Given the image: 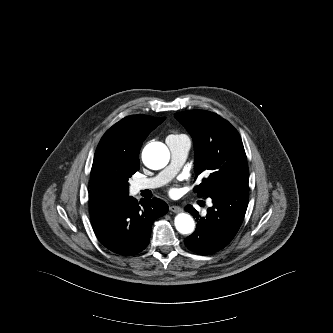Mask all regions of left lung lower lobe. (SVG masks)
I'll list each match as a JSON object with an SVG mask.
<instances>
[{"mask_svg": "<svg viewBox=\"0 0 333 333\" xmlns=\"http://www.w3.org/2000/svg\"><path fill=\"white\" fill-rule=\"evenodd\" d=\"M249 187L224 189L209 197L213 206L207 215L187 205L185 210L197 219L196 231L187 237L186 246L198 254H213L227 246L239 230L248 206Z\"/></svg>", "mask_w": 333, "mask_h": 333, "instance_id": "1", "label": "left lung lower lobe"}]
</instances>
